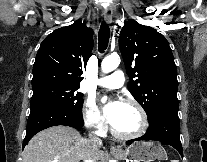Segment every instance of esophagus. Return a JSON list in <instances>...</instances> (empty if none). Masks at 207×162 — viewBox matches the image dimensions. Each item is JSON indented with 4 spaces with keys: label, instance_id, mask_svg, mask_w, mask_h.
<instances>
[{
    "label": "esophagus",
    "instance_id": "obj_1",
    "mask_svg": "<svg viewBox=\"0 0 207 162\" xmlns=\"http://www.w3.org/2000/svg\"><path fill=\"white\" fill-rule=\"evenodd\" d=\"M112 14H113V11L111 7L105 8L103 15H104V20L107 26H109L112 22ZM110 150L113 152L118 151V149L114 145H111Z\"/></svg>",
    "mask_w": 207,
    "mask_h": 162
}]
</instances>
